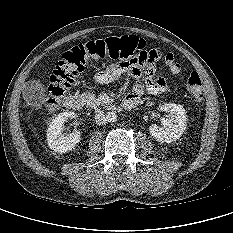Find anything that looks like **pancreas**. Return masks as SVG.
<instances>
[{
  "label": "pancreas",
  "mask_w": 233,
  "mask_h": 233,
  "mask_svg": "<svg viewBox=\"0 0 233 233\" xmlns=\"http://www.w3.org/2000/svg\"><path fill=\"white\" fill-rule=\"evenodd\" d=\"M81 98H82V101L87 106H90L92 108H97V107L103 105V103L100 101V99L97 98L96 95H94L93 93H90V92L83 93L81 95Z\"/></svg>",
  "instance_id": "1"
}]
</instances>
